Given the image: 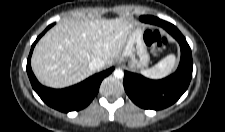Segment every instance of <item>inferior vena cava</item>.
Masks as SVG:
<instances>
[{
  "label": "inferior vena cava",
  "instance_id": "602c4592",
  "mask_svg": "<svg viewBox=\"0 0 225 132\" xmlns=\"http://www.w3.org/2000/svg\"><path fill=\"white\" fill-rule=\"evenodd\" d=\"M105 65V62L101 58H94L90 63H89V68L93 71H100Z\"/></svg>",
  "mask_w": 225,
  "mask_h": 132
}]
</instances>
